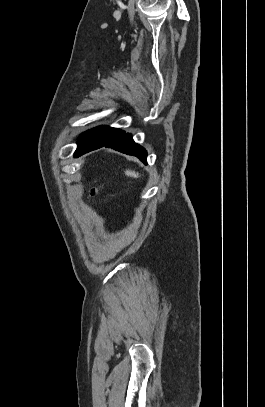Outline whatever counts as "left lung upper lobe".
Segmentation results:
<instances>
[{
    "label": "left lung upper lobe",
    "mask_w": 265,
    "mask_h": 407,
    "mask_svg": "<svg viewBox=\"0 0 265 407\" xmlns=\"http://www.w3.org/2000/svg\"><path fill=\"white\" fill-rule=\"evenodd\" d=\"M123 131L120 129L100 126L83 133L78 141V147L76 152L88 149L97 144L106 143L112 138L118 136Z\"/></svg>",
    "instance_id": "1"
}]
</instances>
